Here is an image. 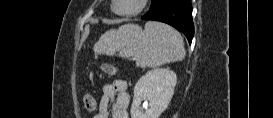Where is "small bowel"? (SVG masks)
Here are the masks:
<instances>
[{
	"label": "small bowel",
	"mask_w": 273,
	"mask_h": 118,
	"mask_svg": "<svg viewBox=\"0 0 273 118\" xmlns=\"http://www.w3.org/2000/svg\"><path fill=\"white\" fill-rule=\"evenodd\" d=\"M92 99L97 107L95 118H109L110 114L113 118H128L127 109L130 96L124 80H116L112 83L104 84L98 105L93 97Z\"/></svg>",
	"instance_id": "small-bowel-1"
}]
</instances>
